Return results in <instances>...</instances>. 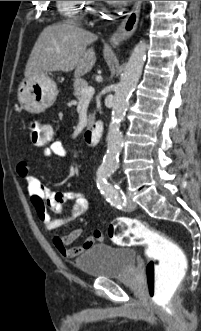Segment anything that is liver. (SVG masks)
Segmentation results:
<instances>
[{"mask_svg":"<svg viewBox=\"0 0 201 331\" xmlns=\"http://www.w3.org/2000/svg\"><path fill=\"white\" fill-rule=\"evenodd\" d=\"M97 39L95 34L79 28L73 22L46 27L39 35L26 64V78H38L49 72L75 70L79 77L89 72L96 62L93 48L88 44Z\"/></svg>","mask_w":201,"mask_h":331,"instance_id":"6515ba94","label":"liver"}]
</instances>
